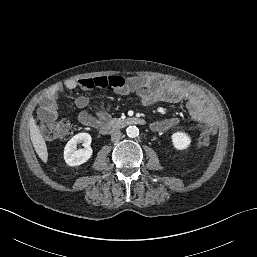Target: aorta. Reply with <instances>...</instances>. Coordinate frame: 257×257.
Here are the masks:
<instances>
[{
	"label": "aorta",
	"instance_id": "1",
	"mask_svg": "<svg viewBox=\"0 0 257 257\" xmlns=\"http://www.w3.org/2000/svg\"><path fill=\"white\" fill-rule=\"evenodd\" d=\"M126 134L131 138H135L139 135V129L136 126H128L126 128Z\"/></svg>",
	"mask_w": 257,
	"mask_h": 257
}]
</instances>
